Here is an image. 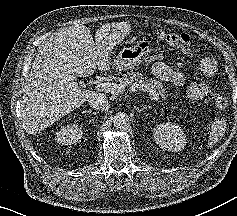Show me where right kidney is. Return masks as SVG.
<instances>
[{"mask_svg": "<svg viewBox=\"0 0 237 216\" xmlns=\"http://www.w3.org/2000/svg\"><path fill=\"white\" fill-rule=\"evenodd\" d=\"M76 133H77V131H76ZM79 135L80 134L77 133L73 136V137H75L74 140H73V143L77 142L81 138Z\"/></svg>", "mask_w": 237, "mask_h": 216, "instance_id": "ca27d5eb", "label": "right kidney"}]
</instances>
